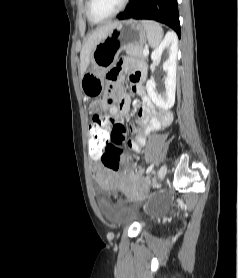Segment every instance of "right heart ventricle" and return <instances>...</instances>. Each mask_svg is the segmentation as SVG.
<instances>
[{
  "label": "right heart ventricle",
  "mask_w": 238,
  "mask_h": 278,
  "mask_svg": "<svg viewBox=\"0 0 238 278\" xmlns=\"http://www.w3.org/2000/svg\"><path fill=\"white\" fill-rule=\"evenodd\" d=\"M86 13H87V12H86ZM87 18H88V20H89L90 23H95V22H93L92 20H90V18L88 17V15H87Z\"/></svg>",
  "instance_id": "e07e8e85"
}]
</instances>
